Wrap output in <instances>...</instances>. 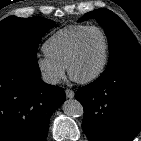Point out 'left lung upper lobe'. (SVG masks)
Returning a JSON list of instances; mask_svg holds the SVG:
<instances>
[{"label": "left lung upper lobe", "mask_w": 141, "mask_h": 141, "mask_svg": "<svg viewBox=\"0 0 141 141\" xmlns=\"http://www.w3.org/2000/svg\"><path fill=\"white\" fill-rule=\"evenodd\" d=\"M95 18L104 28L109 42L110 56L107 72L126 63H141V48L127 25L108 9H98L85 14L80 22Z\"/></svg>", "instance_id": "obj_1"}]
</instances>
